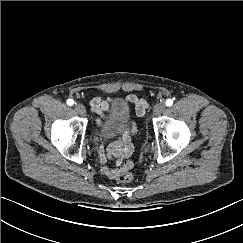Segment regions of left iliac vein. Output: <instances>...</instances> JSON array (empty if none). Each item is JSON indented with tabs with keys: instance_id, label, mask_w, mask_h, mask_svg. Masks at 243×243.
Returning <instances> with one entry per match:
<instances>
[{
	"instance_id": "4c4485c4",
	"label": "left iliac vein",
	"mask_w": 243,
	"mask_h": 243,
	"mask_svg": "<svg viewBox=\"0 0 243 243\" xmlns=\"http://www.w3.org/2000/svg\"><path fill=\"white\" fill-rule=\"evenodd\" d=\"M165 110L164 103H157L153 108V115L158 116Z\"/></svg>"
}]
</instances>
